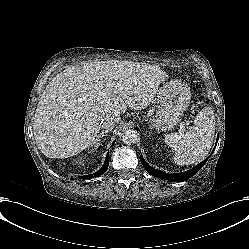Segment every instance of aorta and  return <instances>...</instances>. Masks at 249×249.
<instances>
[{"label":"aorta","mask_w":249,"mask_h":249,"mask_svg":"<svg viewBox=\"0 0 249 249\" xmlns=\"http://www.w3.org/2000/svg\"><path fill=\"white\" fill-rule=\"evenodd\" d=\"M138 136L135 131L129 129L122 133V141L126 145H133L137 142Z\"/></svg>","instance_id":"aorta-1"}]
</instances>
